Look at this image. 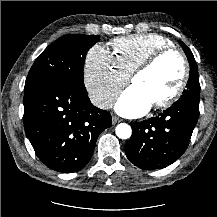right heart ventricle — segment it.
<instances>
[{
    "label": "right heart ventricle",
    "mask_w": 217,
    "mask_h": 217,
    "mask_svg": "<svg viewBox=\"0 0 217 217\" xmlns=\"http://www.w3.org/2000/svg\"><path fill=\"white\" fill-rule=\"evenodd\" d=\"M115 64L126 74L147 60L156 51L172 47V42L158 34H142L119 37L110 43Z\"/></svg>",
    "instance_id": "1"
}]
</instances>
